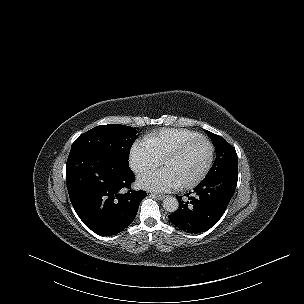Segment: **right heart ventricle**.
Here are the masks:
<instances>
[{
  "label": "right heart ventricle",
  "instance_id": "obj_1",
  "mask_svg": "<svg viewBox=\"0 0 304 304\" xmlns=\"http://www.w3.org/2000/svg\"><path fill=\"white\" fill-rule=\"evenodd\" d=\"M198 136L199 133L188 129L164 128L150 134L147 141L152 145L159 157L166 159L178 147Z\"/></svg>",
  "mask_w": 304,
  "mask_h": 304
}]
</instances>
